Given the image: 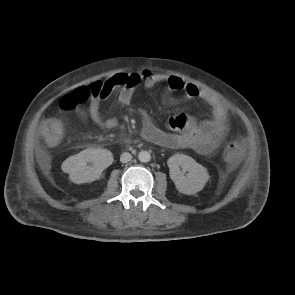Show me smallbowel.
Instances as JSON below:
<instances>
[{
	"mask_svg": "<svg viewBox=\"0 0 295 295\" xmlns=\"http://www.w3.org/2000/svg\"><path fill=\"white\" fill-rule=\"evenodd\" d=\"M131 75L136 76L137 82L121 89L119 101L129 105L140 88H151L156 84L165 83L169 92H182L186 97L199 99L211 107L212 116L201 123L186 114H177L167 121L168 130L154 125L145 111H141L144 118L142 136L149 142L167 148H188L202 155L213 153L230 133L229 110L226 104L210 92L197 85L186 82L175 75L155 73L143 70ZM93 82L86 86H93ZM110 93L94 96L85 109H79L77 114L81 120H90L106 128H116L115 118L102 119L100 108Z\"/></svg>",
	"mask_w": 295,
	"mask_h": 295,
	"instance_id": "obj_1",
	"label": "small bowel"
}]
</instances>
